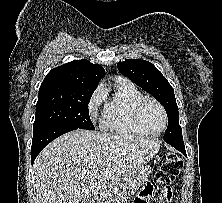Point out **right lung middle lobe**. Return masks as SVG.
<instances>
[{"label":"right lung middle lobe","mask_w":222,"mask_h":203,"mask_svg":"<svg viewBox=\"0 0 222 203\" xmlns=\"http://www.w3.org/2000/svg\"><path fill=\"white\" fill-rule=\"evenodd\" d=\"M95 89L52 87L39 91L33 132L40 129L71 125L94 130L88 104Z\"/></svg>","instance_id":"1"}]
</instances>
